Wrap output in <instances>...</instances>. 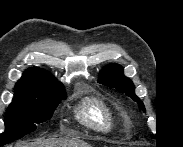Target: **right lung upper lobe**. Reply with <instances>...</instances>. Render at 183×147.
Returning a JSON list of instances; mask_svg holds the SVG:
<instances>
[{
    "label": "right lung upper lobe",
    "mask_w": 183,
    "mask_h": 147,
    "mask_svg": "<svg viewBox=\"0 0 183 147\" xmlns=\"http://www.w3.org/2000/svg\"><path fill=\"white\" fill-rule=\"evenodd\" d=\"M41 88L60 89L63 84L57 81L49 72L37 67H31L25 71L23 76L15 85V89Z\"/></svg>",
    "instance_id": "cb5924a9"
}]
</instances>
